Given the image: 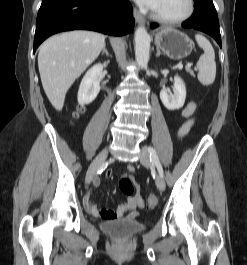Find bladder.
<instances>
[{"instance_id":"1","label":"bladder","mask_w":247,"mask_h":265,"mask_svg":"<svg viewBox=\"0 0 247 265\" xmlns=\"http://www.w3.org/2000/svg\"><path fill=\"white\" fill-rule=\"evenodd\" d=\"M101 229L115 238L124 239L143 231L145 225L130 219H111L103 221Z\"/></svg>"}]
</instances>
